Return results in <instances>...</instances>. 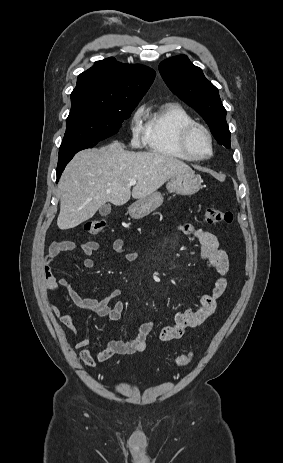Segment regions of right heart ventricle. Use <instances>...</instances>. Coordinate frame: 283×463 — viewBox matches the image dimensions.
<instances>
[{"label": "right heart ventricle", "mask_w": 283, "mask_h": 463, "mask_svg": "<svg viewBox=\"0 0 283 463\" xmlns=\"http://www.w3.org/2000/svg\"><path fill=\"white\" fill-rule=\"evenodd\" d=\"M195 122L192 115L180 104L167 102L146 111L143 142L154 154L191 161L180 146L181 131Z\"/></svg>", "instance_id": "1"}]
</instances>
